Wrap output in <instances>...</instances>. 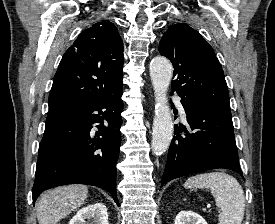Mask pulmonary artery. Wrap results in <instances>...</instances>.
Returning a JSON list of instances; mask_svg holds the SVG:
<instances>
[{"label": "pulmonary artery", "mask_w": 275, "mask_h": 224, "mask_svg": "<svg viewBox=\"0 0 275 224\" xmlns=\"http://www.w3.org/2000/svg\"><path fill=\"white\" fill-rule=\"evenodd\" d=\"M174 101H175V103H176V105L178 107V110H179L181 116L183 118H185V111H184V108H183V106L181 104L180 98L179 97H174Z\"/></svg>", "instance_id": "1"}]
</instances>
